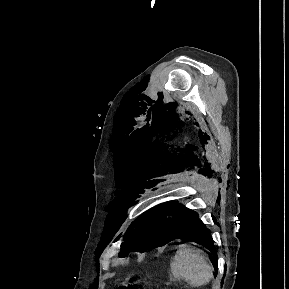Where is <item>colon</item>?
<instances>
[{
    "label": "colon",
    "instance_id": "5ec220e1",
    "mask_svg": "<svg viewBox=\"0 0 289 289\" xmlns=\"http://www.w3.org/2000/svg\"><path fill=\"white\" fill-rule=\"evenodd\" d=\"M117 289H143V286L140 282L132 280L127 282L126 284L118 286Z\"/></svg>",
    "mask_w": 289,
    "mask_h": 289
}]
</instances>
